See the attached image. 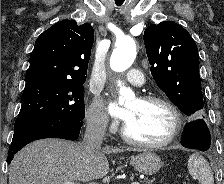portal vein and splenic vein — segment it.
I'll use <instances>...</instances> for the list:
<instances>
[{"instance_id": "portal-vein-and-splenic-vein-1", "label": "portal vein and splenic vein", "mask_w": 224, "mask_h": 184, "mask_svg": "<svg viewBox=\"0 0 224 184\" xmlns=\"http://www.w3.org/2000/svg\"><path fill=\"white\" fill-rule=\"evenodd\" d=\"M62 184H76L74 182H70V181H66V182H63ZM131 184H140L139 182H132Z\"/></svg>"}]
</instances>
